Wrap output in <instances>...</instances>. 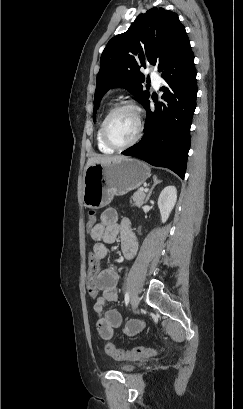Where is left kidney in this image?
<instances>
[{
  "mask_svg": "<svg viewBox=\"0 0 243 409\" xmlns=\"http://www.w3.org/2000/svg\"><path fill=\"white\" fill-rule=\"evenodd\" d=\"M177 200V190L174 186L165 187L158 198V207L160 209L161 220L167 221Z\"/></svg>",
  "mask_w": 243,
  "mask_h": 409,
  "instance_id": "left-kidney-1",
  "label": "left kidney"
}]
</instances>
